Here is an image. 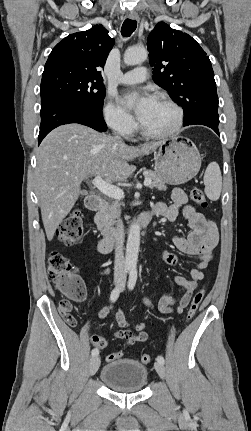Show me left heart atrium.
Returning a JSON list of instances; mask_svg holds the SVG:
<instances>
[{
	"label": "left heart atrium",
	"mask_w": 251,
	"mask_h": 431,
	"mask_svg": "<svg viewBox=\"0 0 251 431\" xmlns=\"http://www.w3.org/2000/svg\"><path fill=\"white\" fill-rule=\"evenodd\" d=\"M121 102L125 106L133 105L138 119L141 121L155 103V99L145 92H127Z\"/></svg>",
	"instance_id": "obj_1"
}]
</instances>
